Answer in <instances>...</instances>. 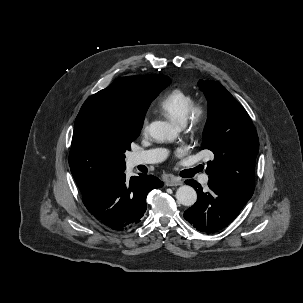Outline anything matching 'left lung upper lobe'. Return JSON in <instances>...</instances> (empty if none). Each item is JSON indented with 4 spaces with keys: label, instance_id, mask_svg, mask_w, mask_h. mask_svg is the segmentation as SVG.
<instances>
[{
    "label": "left lung upper lobe",
    "instance_id": "obj_1",
    "mask_svg": "<svg viewBox=\"0 0 303 303\" xmlns=\"http://www.w3.org/2000/svg\"><path fill=\"white\" fill-rule=\"evenodd\" d=\"M198 86L208 100L201 148L214 153L206 173L251 197L259 150L256 129L246 110L220 83L200 80Z\"/></svg>",
    "mask_w": 303,
    "mask_h": 303
}]
</instances>
